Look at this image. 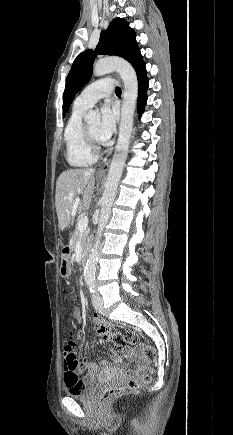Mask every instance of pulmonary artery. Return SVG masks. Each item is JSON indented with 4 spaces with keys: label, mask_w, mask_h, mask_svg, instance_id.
Returning a JSON list of instances; mask_svg holds the SVG:
<instances>
[{
    "label": "pulmonary artery",
    "mask_w": 233,
    "mask_h": 435,
    "mask_svg": "<svg viewBox=\"0 0 233 435\" xmlns=\"http://www.w3.org/2000/svg\"><path fill=\"white\" fill-rule=\"evenodd\" d=\"M115 88L114 80L103 78L88 85L75 99V105L90 108L99 99L109 96Z\"/></svg>",
    "instance_id": "e3ab8cb5"
}]
</instances>
